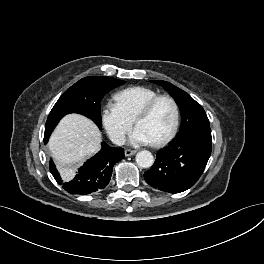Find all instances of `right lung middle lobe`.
Returning <instances> with one entry per match:
<instances>
[{
    "label": "right lung middle lobe",
    "instance_id": "right-lung-middle-lobe-1",
    "mask_svg": "<svg viewBox=\"0 0 264 264\" xmlns=\"http://www.w3.org/2000/svg\"><path fill=\"white\" fill-rule=\"evenodd\" d=\"M123 83L111 77L89 76L67 89L49 113L44 134L46 142L59 120L69 113L85 115L101 128L100 102L107 92Z\"/></svg>",
    "mask_w": 264,
    "mask_h": 264
}]
</instances>
